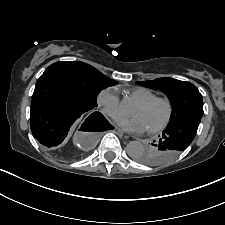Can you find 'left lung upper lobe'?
Returning a JSON list of instances; mask_svg holds the SVG:
<instances>
[{
	"label": "left lung upper lobe",
	"mask_w": 225,
	"mask_h": 225,
	"mask_svg": "<svg viewBox=\"0 0 225 225\" xmlns=\"http://www.w3.org/2000/svg\"><path fill=\"white\" fill-rule=\"evenodd\" d=\"M138 84L164 92L170 100L172 113L171 125L182 119L203 115V99L198 89L191 83L173 78H158L153 81L138 82ZM155 142V141H154ZM145 149L135 159L143 164L151 165L150 155L157 152L156 144Z\"/></svg>",
	"instance_id": "1"
}]
</instances>
